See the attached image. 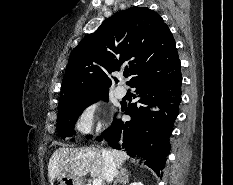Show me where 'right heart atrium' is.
I'll use <instances>...</instances> for the list:
<instances>
[{"instance_id":"1","label":"right heart atrium","mask_w":233,"mask_h":185,"mask_svg":"<svg viewBox=\"0 0 233 185\" xmlns=\"http://www.w3.org/2000/svg\"><path fill=\"white\" fill-rule=\"evenodd\" d=\"M104 127L101 106L95 100L88 101L81 106L73 123L75 132L83 137L94 132L99 133Z\"/></svg>"}]
</instances>
